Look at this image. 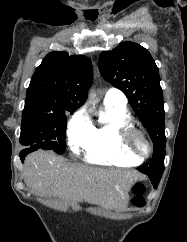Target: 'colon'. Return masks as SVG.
Wrapping results in <instances>:
<instances>
[{"label":"colon","mask_w":187,"mask_h":242,"mask_svg":"<svg viewBox=\"0 0 187 242\" xmlns=\"http://www.w3.org/2000/svg\"><path fill=\"white\" fill-rule=\"evenodd\" d=\"M145 185L143 183H136L132 188V203L136 207L144 205Z\"/></svg>","instance_id":"obj_1"}]
</instances>
